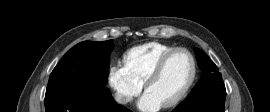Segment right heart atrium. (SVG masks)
Returning <instances> with one entry per match:
<instances>
[{
	"label": "right heart atrium",
	"mask_w": 270,
	"mask_h": 112,
	"mask_svg": "<svg viewBox=\"0 0 270 112\" xmlns=\"http://www.w3.org/2000/svg\"><path fill=\"white\" fill-rule=\"evenodd\" d=\"M108 84L114 91L116 101L122 105L128 104L137 97L143 87L120 62H115L110 66Z\"/></svg>",
	"instance_id": "obj_1"
}]
</instances>
